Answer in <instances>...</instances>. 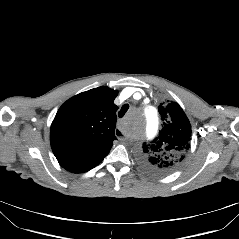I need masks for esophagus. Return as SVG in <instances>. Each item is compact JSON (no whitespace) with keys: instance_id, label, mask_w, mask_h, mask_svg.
Here are the masks:
<instances>
[{"instance_id":"esophagus-1","label":"esophagus","mask_w":239,"mask_h":239,"mask_svg":"<svg viewBox=\"0 0 239 239\" xmlns=\"http://www.w3.org/2000/svg\"><path fill=\"white\" fill-rule=\"evenodd\" d=\"M115 134H116V136L118 137V139H119L120 141H124V140H125V137L121 136L122 131H121L120 129L116 130V131H115Z\"/></svg>"}]
</instances>
